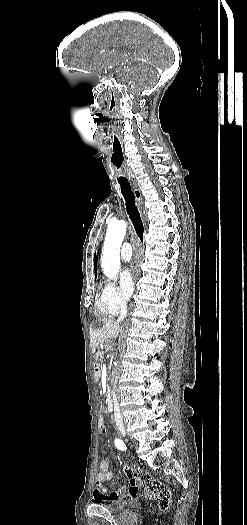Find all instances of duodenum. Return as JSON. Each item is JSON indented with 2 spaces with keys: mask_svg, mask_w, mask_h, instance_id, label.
Wrapping results in <instances>:
<instances>
[{
  "mask_svg": "<svg viewBox=\"0 0 247 525\" xmlns=\"http://www.w3.org/2000/svg\"><path fill=\"white\" fill-rule=\"evenodd\" d=\"M93 369H94V374L96 377H99L100 375V367L98 364H94L93 366ZM106 404H107V408L110 412L113 411V400H112V394L110 391H107L106 392Z\"/></svg>",
  "mask_w": 247,
  "mask_h": 525,
  "instance_id": "410a0bca",
  "label": "duodenum"
}]
</instances>
